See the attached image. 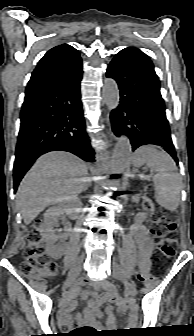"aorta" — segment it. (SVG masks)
Wrapping results in <instances>:
<instances>
[{
    "instance_id": "aorta-1",
    "label": "aorta",
    "mask_w": 194,
    "mask_h": 336,
    "mask_svg": "<svg viewBox=\"0 0 194 336\" xmlns=\"http://www.w3.org/2000/svg\"><path fill=\"white\" fill-rule=\"evenodd\" d=\"M102 96L109 110L119 105V89L113 79H105ZM131 156V143L126 136H120L113 150L110 169L112 173H122L127 168Z\"/></svg>"
}]
</instances>
